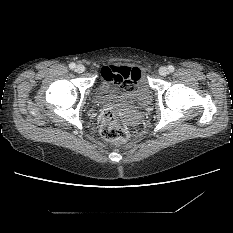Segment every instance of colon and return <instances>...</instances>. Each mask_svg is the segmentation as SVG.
<instances>
[{
    "label": "colon",
    "mask_w": 233,
    "mask_h": 233,
    "mask_svg": "<svg viewBox=\"0 0 233 233\" xmlns=\"http://www.w3.org/2000/svg\"><path fill=\"white\" fill-rule=\"evenodd\" d=\"M115 76L124 90H131L136 86L137 78L131 68L122 67L115 72ZM100 119V131L105 139L119 143H125L128 140L121 107L104 106L100 111Z\"/></svg>",
    "instance_id": "colon-1"
}]
</instances>
